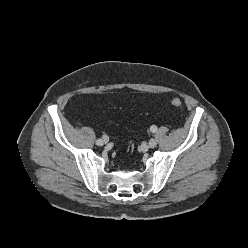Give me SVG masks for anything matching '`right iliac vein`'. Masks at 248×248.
Returning <instances> with one entry per match:
<instances>
[{
	"label": "right iliac vein",
	"instance_id": "1",
	"mask_svg": "<svg viewBox=\"0 0 248 248\" xmlns=\"http://www.w3.org/2000/svg\"><path fill=\"white\" fill-rule=\"evenodd\" d=\"M102 141H103V144L102 145L108 143V139H102Z\"/></svg>",
	"mask_w": 248,
	"mask_h": 248
}]
</instances>
